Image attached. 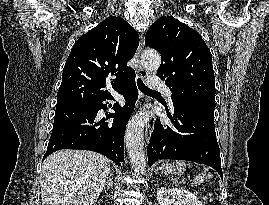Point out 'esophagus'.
I'll return each mask as SVG.
<instances>
[{"label":"esophagus","instance_id":"esophagus-1","mask_svg":"<svg viewBox=\"0 0 269 205\" xmlns=\"http://www.w3.org/2000/svg\"><path fill=\"white\" fill-rule=\"evenodd\" d=\"M143 47H144V40H143V36L141 35L140 36V43H139V47L136 51V54H135V58L137 60V63H138V73L140 75V77L145 80L148 76V73L147 71L141 66V63H140V57H141V53H142V50H143ZM154 123H155V116L151 113V116H150V119L146 125V128H145V137H146V140L148 141L149 140V136L154 128Z\"/></svg>","mask_w":269,"mask_h":205}]
</instances>
